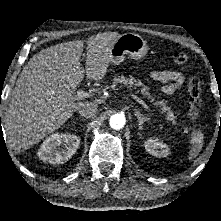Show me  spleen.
Here are the masks:
<instances>
[{
    "label": "spleen",
    "instance_id": "obj_1",
    "mask_svg": "<svg viewBox=\"0 0 221 221\" xmlns=\"http://www.w3.org/2000/svg\"><path fill=\"white\" fill-rule=\"evenodd\" d=\"M203 142H204V134L201 130H193L190 136V152H189V158H195L202 146H203Z\"/></svg>",
    "mask_w": 221,
    "mask_h": 221
}]
</instances>
